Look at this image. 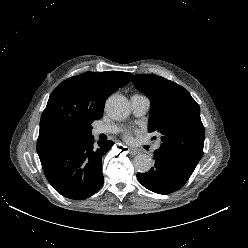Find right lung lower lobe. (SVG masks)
Wrapping results in <instances>:
<instances>
[{
    "mask_svg": "<svg viewBox=\"0 0 248 248\" xmlns=\"http://www.w3.org/2000/svg\"><path fill=\"white\" fill-rule=\"evenodd\" d=\"M113 144L98 141L95 146L91 133H78L64 138L39 158L53 188L67 198L81 200L102 187V156Z\"/></svg>",
    "mask_w": 248,
    "mask_h": 248,
    "instance_id": "1",
    "label": "right lung lower lobe"
}]
</instances>
